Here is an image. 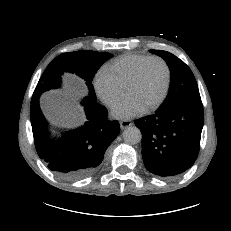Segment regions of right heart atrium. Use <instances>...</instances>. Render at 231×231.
<instances>
[{"mask_svg": "<svg viewBox=\"0 0 231 231\" xmlns=\"http://www.w3.org/2000/svg\"><path fill=\"white\" fill-rule=\"evenodd\" d=\"M94 89L100 100L108 107L114 106L124 95V90L105 69H100L94 78Z\"/></svg>", "mask_w": 231, "mask_h": 231, "instance_id": "obj_1", "label": "right heart atrium"}]
</instances>
